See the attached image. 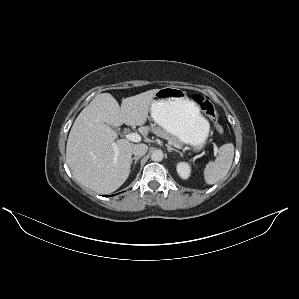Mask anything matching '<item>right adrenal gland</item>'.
<instances>
[{
	"mask_svg": "<svg viewBox=\"0 0 299 299\" xmlns=\"http://www.w3.org/2000/svg\"><path fill=\"white\" fill-rule=\"evenodd\" d=\"M140 158H141V156H136L131 159V163H133V161H134L133 170L135 169V166Z\"/></svg>",
	"mask_w": 299,
	"mask_h": 299,
	"instance_id": "right-adrenal-gland-1",
	"label": "right adrenal gland"
}]
</instances>
